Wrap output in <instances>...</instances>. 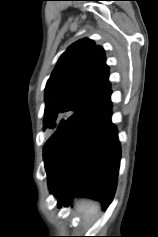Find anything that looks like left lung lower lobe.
Wrapping results in <instances>:
<instances>
[{"mask_svg": "<svg viewBox=\"0 0 158 237\" xmlns=\"http://www.w3.org/2000/svg\"><path fill=\"white\" fill-rule=\"evenodd\" d=\"M110 95L107 90L76 111L44 145L49 188L59 207L74 196L97 199L103 210L112 201L121 152Z\"/></svg>", "mask_w": 158, "mask_h": 237, "instance_id": "0a47b994", "label": "left lung lower lobe"}]
</instances>
